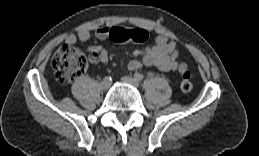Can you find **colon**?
I'll return each instance as SVG.
<instances>
[{"mask_svg":"<svg viewBox=\"0 0 259 156\" xmlns=\"http://www.w3.org/2000/svg\"><path fill=\"white\" fill-rule=\"evenodd\" d=\"M110 39L117 43H142L148 39V33L140 28L131 30L119 28L112 31ZM87 67L86 56L79 48L74 46H61L52 58V68L58 81L62 84L71 83L79 78L87 70ZM180 88L185 93L192 90L193 84L189 72H184L181 75Z\"/></svg>","mask_w":259,"mask_h":156,"instance_id":"obj_1","label":"colon"}]
</instances>
